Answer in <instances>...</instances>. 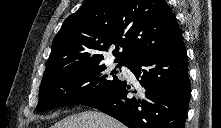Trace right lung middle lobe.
Returning a JSON list of instances; mask_svg holds the SVG:
<instances>
[{
  "mask_svg": "<svg viewBox=\"0 0 221 128\" xmlns=\"http://www.w3.org/2000/svg\"><path fill=\"white\" fill-rule=\"evenodd\" d=\"M100 61L80 60L45 71L39 89L37 112L60 106L83 104L109 92L121 81L113 70L105 74Z\"/></svg>",
  "mask_w": 221,
  "mask_h": 128,
  "instance_id": "dd1d6c3e",
  "label": "right lung middle lobe"
}]
</instances>
